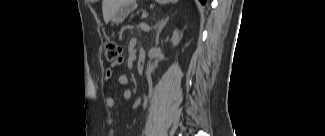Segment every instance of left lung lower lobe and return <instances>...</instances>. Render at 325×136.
I'll list each match as a JSON object with an SVG mask.
<instances>
[{"label":"left lung lower lobe","instance_id":"left-lung-lower-lobe-1","mask_svg":"<svg viewBox=\"0 0 325 136\" xmlns=\"http://www.w3.org/2000/svg\"><path fill=\"white\" fill-rule=\"evenodd\" d=\"M200 1L204 4L206 0H200Z\"/></svg>","mask_w":325,"mask_h":136}]
</instances>
